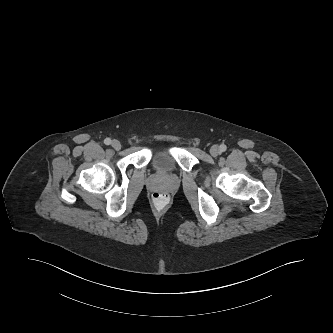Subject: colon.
Segmentation results:
<instances>
[{
	"label": "colon",
	"instance_id": "colon-1",
	"mask_svg": "<svg viewBox=\"0 0 333 333\" xmlns=\"http://www.w3.org/2000/svg\"><path fill=\"white\" fill-rule=\"evenodd\" d=\"M170 199L166 192L158 191L153 195L152 205L157 210H162L169 205Z\"/></svg>",
	"mask_w": 333,
	"mask_h": 333
}]
</instances>
